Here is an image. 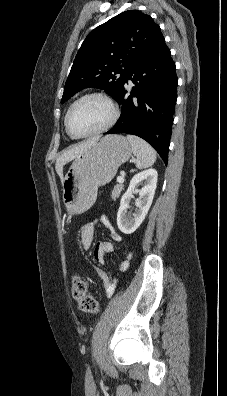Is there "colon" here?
<instances>
[{
    "instance_id": "5ec220e1",
    "label": "colon",
    "mask_w": 227,
    "mask_h": 396,
    "mask_svg": "<svg viewBox=\"0 0 227 396\" xmlns=\"http://www.w3.org/2000/svg\"><path fill=\"white\" fill-rule=\"evenodd\" d=\"M72 296L78 302L79 309L86 313H97V300L88 294L85 281L78 275L72 278Z\"/></svg>"
}]
</instances>
